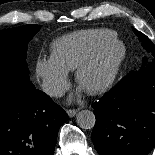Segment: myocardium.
<instances>
[{
  "mask_svg": "<svg viewBox=\"0 0 155 155\" xmlns=\"http://www.w3.org/2000/svg\"><path fill=\"white\" fill-rule=\"evenodd\" d=\"M111 46H118L119 53L113 63L112 70L108 76V78L101 83L100 85L93 88H83L82 87V78L84 74L92 68L99 59L103 56L104 52L110 48ZM127 54L125 44L117 37H113L105 42H103L93 53L90 55L85 61H83L76 69L75 72V80L78 85H80L88 94L90 95H98L105 91H107L115 82L118 74L122 68V65L125 61Z\"/></svg>",
  "mask_w": 155,
  "mask_h": 155,
  "instance_id": "f54148a6",
  "label": "myocardium"
}]
</instances>
